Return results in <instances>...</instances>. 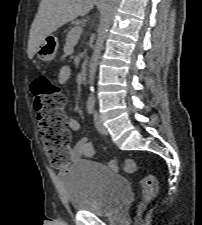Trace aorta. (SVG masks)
<instances>
[{
	"mask_svg": "<svg viewBox=\"0 0 202 225\" xmlns=\"http://www.w3.org/2000/svg\"><path fill=\"white\" fill-rule=\"evenodd\" d=\"M120 0H106L104 9L102 11V14L100 16V24L97 30V38L96 43L93 48V54L91 57L90 65H89V82L93 84L95 74L97 71L98 62L101 56V51L103 49L104 41L107 37L109 28L112 24L113 17L115 15V12L118 8ZM91 94L89 96V101L94 100V87H90Z\"/></svg>",
	"mask_w": 202,
	"mask_h": 225,
	"instance_id": "aorta-1",
	"label": "aorta"
}]
</instances>
